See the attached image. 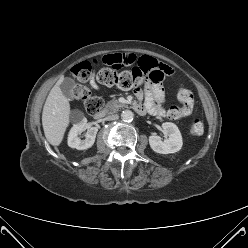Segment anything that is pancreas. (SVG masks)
<instances>
[{
  "mask_svg": "<svg viewBox=\"0 0 248 248\" xmlns=\"http://www.w3.org/2000/svg\"><path fill=\"white\" fill-rule=\"evenodd\" d=\"M124 104L118 102V100L109 101L105 106L106 112H117Z\"/></svg>",
  "mask_w": 248,
  "mask_h": 248,
  "instance_id": "pancreas-1",
  "label": "pancreas"
}]
</instances>
